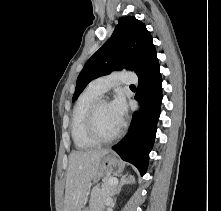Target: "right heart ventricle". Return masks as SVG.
<instances>
[{"label": "right heart ventricle", "instance_id": "obj_1", "mask_svg": "<svg viewBox=\"0 0 221 211\" xmlns=\"http://www.w3.org/2000/svg\"><path fill=\"white\" fill-rule=\"evenodd\" d=\"M102 93L89 85L79 96L71 118V136L78 149H89L97 143L91 140L85 130V120L90 106L100 98Z\"/></svg>", "mask_w": 221, "mask_h": 211}]
</instances>
